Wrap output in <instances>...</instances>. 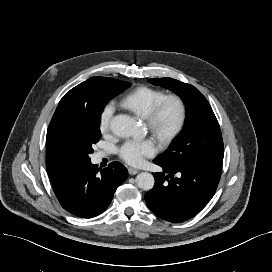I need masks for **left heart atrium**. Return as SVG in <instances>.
Segmentation results:
<instances>
[{
  "mask_svg": "<svg viewBox=\"0 0 272 272\" xmlns=\"http://www.w3.org/2000/svg\"><path fill=\"white\" fill-rule=\"evenodd\" d=\"M156 147L150 141L129 140L119 148L120 157L130 165L138 166L155 154Z\"/></svg>",
  "mask_w": 272,
  "mask_h": 272,
  "instance_id": "39dd6f15",
  "label": "left heart atrium"
}]
</instances>
